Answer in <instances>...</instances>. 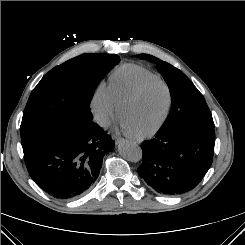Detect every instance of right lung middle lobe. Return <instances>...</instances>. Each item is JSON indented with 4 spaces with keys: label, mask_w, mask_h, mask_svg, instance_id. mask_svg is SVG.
I'll return each instance as SVG.
<instances>
[{
    "label": "right lung middle lobe",
    "mask_w": 245,
    "mask_h": 245,
    "mask_svg": "<svg viewBox=\"0 0 245 245\" xmlns=\"http://www.w3.org/2000/svg\"><path fill=\"white\" fill-rule=\"evenodd\" d=\"M119 62L115 54L87 53L50 70L33 89L25 107L20 127L22 147L59 131L91 124L94 91Z\"/></svg>",
    "instance_id": "right-lung-middle-lobe-1"
}]
</instances>
